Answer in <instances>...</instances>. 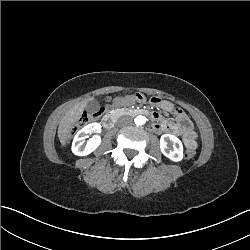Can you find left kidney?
<instances>
[{
  "label": "left kidney",
  "instance_id": "5707ae66",
  "mask_svg": "<svg viewBox=\"0 0 250 250\" xmlns=\"http://www.w3.org/2000/svg\"><path fill=\"white\" fill-rule=\"evenodd\" d=\"M171 145L172 149L169 148ZM160 147L162 153L173 161H179L182 158L181 141L171 134L161 136Z\"/></svg>",
  "mask_w": 250,
  "mask_h": 250
}]
</instances>
